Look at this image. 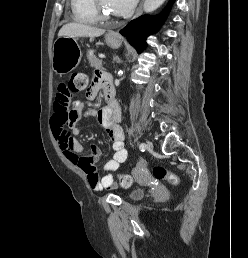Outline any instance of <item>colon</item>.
<instances>
[{"instance_id":"1","label":"colon","mask_w":248,"mask_h":258,"mask_svg":"<svg viewBox=\"0 0 248 258\" xmlns=\"http://www.w3.org/2000/svg\"><path fill=\"white\" fill-rule=\"evenodd\" d=\"M89 87V77L87 74L77 72L73 74L70 81V94L78 95ZM152 174L155 179L160 181H167L172 185L178 184V177L162 165H155L152 169ZM117 178L123 187H130L132 184V177L126 174H118Z\"/></svg>"}]
</instances>
